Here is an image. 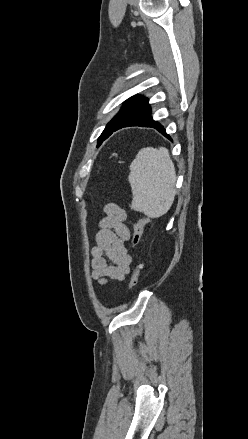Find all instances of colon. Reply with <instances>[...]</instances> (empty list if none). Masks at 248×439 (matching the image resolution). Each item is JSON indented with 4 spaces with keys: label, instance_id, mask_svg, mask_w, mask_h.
Returning a JSON list of instances; mask_svg holds the SVG:
<instances>
[{
    "label": "colon",
    "instance_id": "colon-1",
    "mask_svg": "<svg viewBox=\"0 0 248 439\" xmlns=\"http://www.w3.org/2000/svg\"><path fill=\"white\" fill-rule=\"evenodd\" d=\"M149 221V217L147 215H142L138 221L136 222L135 226H134V232H133V237H132V246L134 249H138L141 239H142V235H143V229L145 224ZM140 269H141V265L137 264L133 270L130 282H129V287L130 289L135 288V286L138 283L139 277H140Z\"/></svg>",
    "mask_w": 248,
    "mask_h": 439
}]
</instances>
